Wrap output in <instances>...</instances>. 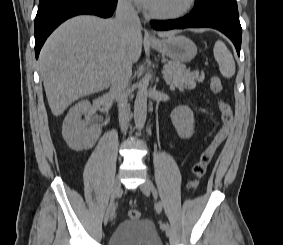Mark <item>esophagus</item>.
<instances>
[{
	"label": "esophagus",
	"instance_id": "34e87169",
	"mask_svg": "<svg viewBox=\"0 0 283 245\" xmlns=\"http://www.w3.org/2000/svg\"><path fill=\"white\" fill-rule=\"evenodd\" d=\"M145 38L148 40H154V37L151 34H146Z\"/></svg>",
	"mask_w": 283,
	"mask_h": 245
}]
</instances>
